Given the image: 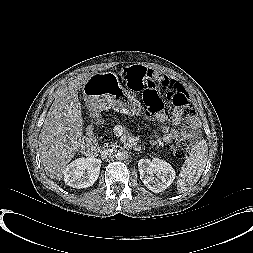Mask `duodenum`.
<instances>
[{"label": "duodenum", "instance_id": "410a0bca", "mask_svg": "<svg viewBox=\"0 0 253 253\" xmlns=\"http://www.w3.org/2000/svg\"><path fill=\"white\" fill-rule=\"evenodd\" d=\"M82 151L84 154L91 156L97 152V146L95 145V143L92 139H87L82 144Z\"/></svg>", "mask_w": 253, "mask_h": 253}]
</instances>
